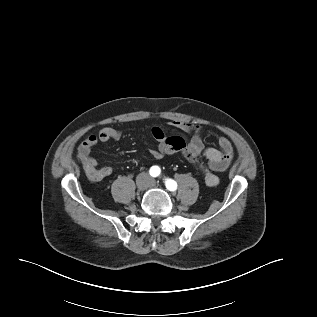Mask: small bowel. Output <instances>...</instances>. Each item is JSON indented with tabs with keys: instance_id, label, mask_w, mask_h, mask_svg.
<instances>
[{
	"instance_id": "c3829d8e",
	"label": "small bowel",
	"mask_w": 317,
	"mask_h": 317,
	"mask_svg": "<svg viewBox=\"0 0 317 317\" xmlns=\"http://www.w3.org/2000/svg\"><path fill=\"white\" fill-rule=\"evenodd\" d=\"M168 125L190 134L191 137L187 143L179 136H174L173 138L180 141L181 152L187 153L194 158L203 156L206 159V163L201 165L204 182L210 187L218 185L219 177L216 173L226 170L233 158V146L230 140L226 137H220L218 149L205 148L201 127L181 120H171ZM151 134L160 142L158 148L152 150V155L155 158L161 159L166 154L177 152L171 145L167 146L165 144V140L168 137L165 136L162 128L158 126L152 127ZM121 136L122 133L119 130L112 127H103L81 143L78 149V157L91 180L100 181L114 172L111 166H98L97 160L91 154L93 148L99 142L119 140Z\"/></svg>"
}]
</instances>
